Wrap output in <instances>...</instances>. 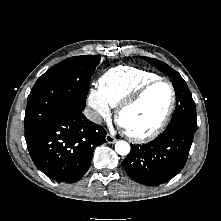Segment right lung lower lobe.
I'll return each mask as SVG.
<instances>
[{
  "label": "right lung lower lobe",
  "instance_id": "1",
  "mask_svg": "<svg viewBox=\"0 0 221 221\" xmlns=\"http://www.w3.org/2000/svg\"><path fill=\"white\" fill-rule=\"evenodd\" d=\"M106 131L83 112L55 116L25 136L30 156L49 178L76 182L87 171L93 150L106 142Z\"/></svg>",
  "mask_w": 221,
  "mask_h": 221
}]
</instances>
